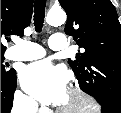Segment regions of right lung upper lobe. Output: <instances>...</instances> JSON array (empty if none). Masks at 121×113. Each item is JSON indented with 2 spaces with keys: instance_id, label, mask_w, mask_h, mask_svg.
<instances>
[{
  "instance_id": "cb5924a9",
  "label": "right lung upper lobe",
  "mask_w": 121,
  "mask_h": 113,
  "mask_svg": "<svg viewBox=\"0 0 121 113\" xmlns=\"http://www.w3.org/2000/svg\"><path fill=\"white\" fill-rule=\"evenodd\" d=\"M32 12L33 0H1V38L8 35L22 37L30 24ZM5 50L1 42V52Z\"/></svg>"
}]
</instances>
